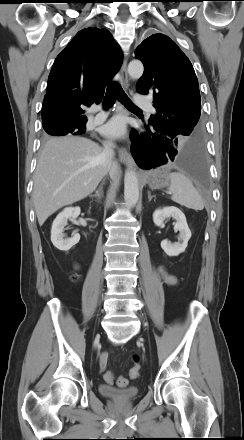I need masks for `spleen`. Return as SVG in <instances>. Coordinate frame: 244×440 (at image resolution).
I'll use <instances>...</instances> for the list:
<instances>
[{
	"instance_id": "3e777b00",
	"label": "spleen",
	"mask_w": 244,
	"mask_h": 440,
	"mask_svg": "<svg viewBox=\"0 0 244 440\" xmlns=\"http://www.w3.org/2000/svg\"><path fill=\"white\" fill-rule=\"evenodd\" d=\"M170 181L168 190L171 200L196 211L204 209V201L192 182L181 173H169Z\"/></svg>"
}]
</instances>
